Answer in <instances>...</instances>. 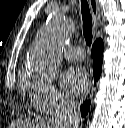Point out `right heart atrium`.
<instances>
[{
	"mask_svg": "<svg viewBox=\"0 0 125 128\" xmlns=\"http://www.w3.org/2000/svg\"><path fill=\"white\" fill-rule=\"evenodd\" d=\"M25 86L32 104L42 113L55 115L73 105L52 81L27 80Z\"/></svg>",
	"mask_w": 125,
	"mask_h": 128,
	"instance_id": "obj_1",
	"label": "right heart atrium"
}]
</instances>
